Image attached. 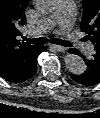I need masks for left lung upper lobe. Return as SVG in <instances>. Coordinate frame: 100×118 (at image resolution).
<instances>
[{
  "instance_id": "left-lung-upper-lobe-1",
  "label": "left lung upper lobe",
  "mask_w": 100,
  "mask_h": 118,
  "mask_svg": "<svg viewBox=\"0 0 100 118\" xmlns=\"http://www.w3.org/2000/svg\"><path fill=\"white\" fill-rule=\"evenodd\" d=\"M81 29L90 40L96 54L100 55V0H83V18Z\"/></svg>"
}]
</instances>
